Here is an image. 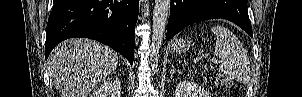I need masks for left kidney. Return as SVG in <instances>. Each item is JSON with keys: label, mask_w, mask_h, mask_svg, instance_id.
<instances>
[{"label": "left kidney", "mask_w": 302, "mask_h": 97, "mask_svg": "<svg viewBox=\"0 0 302 97\" xmlns=\"http://www.w3.org/2000/svg\"><path fill=\"white\" fill-rule=\"evenodd\" d=\"M175 97H211V95L197 83L180 81L175 90Z\"/></svg>", "instance_id": "obj_1"}]
</instances>
